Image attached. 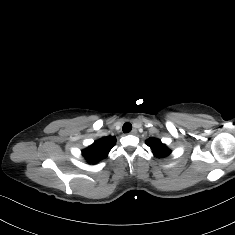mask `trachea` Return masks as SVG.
Listing matches in <instances>:
<instances>
[{"label":"trachea","mask_w":235,"mask_h":235,"mask_svg":"<svg viewBox=\"0 0 235 235\" xmlns=\"http://www.w3.org/2000/svg\"><path fill=\"white\" fill-rule=\"evenodd\" d=\"M124 133L130 132L132 130V125L129 122H126L122 128Z\"/></svg>","instance_id":"trachea-1"}]
</instances>
